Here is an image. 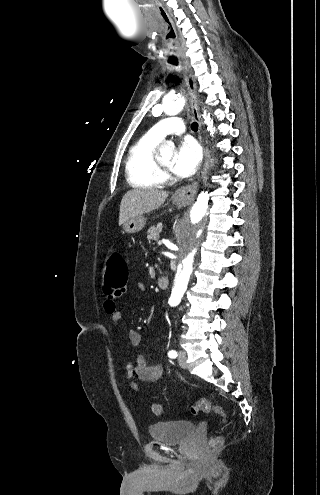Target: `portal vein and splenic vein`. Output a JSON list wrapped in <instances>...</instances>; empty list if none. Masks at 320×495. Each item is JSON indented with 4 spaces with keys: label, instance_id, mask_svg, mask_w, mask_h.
<instances>
[{
    "label": "portal vein and splenic vein",
    "instance_id": "obj_1",
    "mask_svg": "<svg viewBox=\"0 0 320 495\" xmlns=\"http://www.w3.org/2000/svg\"><path fill=\"white\" fill-rule=\"evenodd\" d=\"M158 244H161V241H158Z\"/></svg>",
    "mask_w": 320,
    "mask_h": 495
}]
</instances>
